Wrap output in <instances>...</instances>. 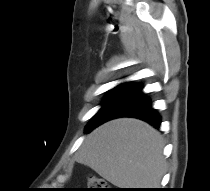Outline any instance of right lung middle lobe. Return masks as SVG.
Instances as JSON below:
<instances>
[{"label": "right lung middle lobe", "mask_w": 210, "mask_h": 191, "mask_svg": "<svg viewBox=\"0 0 210 191\" xmlns=\"http://www.w3.org/2000/svg\"><path fill=\"white\" fill-rule=\"evenodd\" d=\"M111 92L108 94V96L106 97V100L102 104H104L107 101V99L109 98ZM96 116H97V114L95 115L94 119L86 126L85 132H88L95 125V123H96Z\"/></svg>", "instance_id": "1"}]
</instances>
